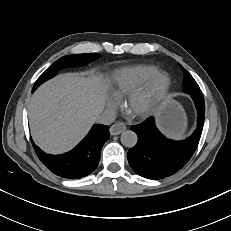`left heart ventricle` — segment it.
<instances>
[{"instance_id":"obj_1","label":"left heart ventricle","mask_w":231,"mask_h":231,"mask_svg":"<svg viewBox=\"0 0 231 231\" xmlns=\"http://www.w3.org/2000/svg\"><path fill=\"white\" fill-rule=\"evenodd\" d=\"M145 102V98H139L137 101H136V106H141L143 105Z\"/></svg>"}]
</instances>
